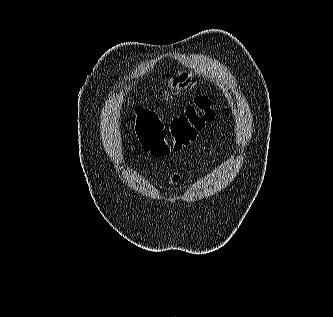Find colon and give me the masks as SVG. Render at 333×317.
<instances>
[{"mask_svg":"<svg viewBox=\"0 0 333 317\" xmlns=\"http://www.w3.org/2000/svg\"><path fill=\"white\" fill-rule=\"evenodd\" d=\"M136 134L141 147L153 156L162 157L191 145L216 110L207 96H198L166 127L151 109L135 106Z\"/></svg>","mask_w":333,"mask_h":317,"instance_id":"5ec220e1","label":"colon"}]
</instances>
